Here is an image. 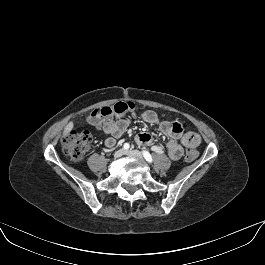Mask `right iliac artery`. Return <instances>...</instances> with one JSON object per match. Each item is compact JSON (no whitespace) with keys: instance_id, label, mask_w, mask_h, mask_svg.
<instances>
[{"instance_id":"82829eb1","label":"right iliac artery","mask_w":265,"mask_h":265,"mask_svg":"<svg viewBox=\"0 0 265 265\" xmlns=\"http://www.w3.org/2000/svg\"><path fill=\"white\" fill-rule=\"evenodd\" d=\"M129 147H130V145H129L128 143H125V144L123 145V148H124L125 150H128Z\"/></svg>"}]
</instances>
